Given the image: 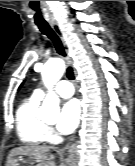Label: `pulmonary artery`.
<instances>
[{
  "label": "pulmonary artery",
  "instance_id": "obj_1",
  "mask_svg": "<svg viewBox=\"0 0 135 166\" xmlns=\"http://www.w3.org/2000/svg\"><path fill=\"white\" fill-rule=\"evenodd\" d=\"M55 91L62 98H69L74 94V88L67 80H61L57 84ZM33 95L42 98L45 95V92L41 88H38L34 91Z\"/></svg>",
  "mask_w": 135,
  "mask_h": 166
}]
</instances>
